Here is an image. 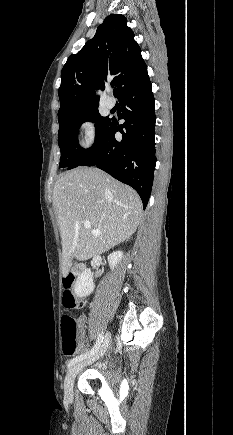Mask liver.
Here are the masks:
<instances>
[{
    "mask_svg": "<svg viewBox=\"0 0 233 435\" xmlns=\"http://www.w3.org/2000/svg\"><path fill=\"white\" fill-rule=\"evenodd\" d=\"M53 205L62 238L64 277L73 258L86 261L128 240L142 215L137 192L98 168L79 167L61 176L54 185ZM87 220L90 229L84 227Z\"/></svg>",
    "mask_w": 233,
    "mask_h": 435,
    "instance_id": "6515ba94",
    "label": "liver"
}]
</instances>
